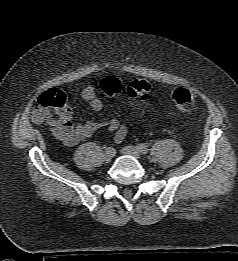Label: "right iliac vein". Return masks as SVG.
Listing matches in <instances>:
<instances>
[{"instance_id": "1", "label": "right iliac vein", "mask_w": 238, "mask_h": 261, "mask_svg": "<svg viewBox=\"0 0 238 261\" xmlns=\"http://www.w3.org/2000/svg\"><path fill=\"white\" fill-rule=\"evenodd\" d=\"M114 156H115V152L114 153H108L107 150H106L105 154H104V160L106 162H110Z\"/></svg>"}]
</instances>
